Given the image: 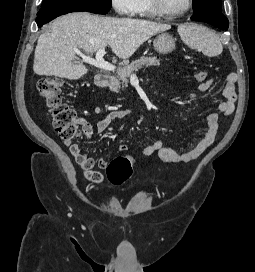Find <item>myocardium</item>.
Segmentation results:
<instances>
[{"label":"myocardium","instance_id":"obj_1","mask_svg":"<svg viewBox=\"0 0 255 272\" xmlns=\"http://www.w3.org/2000/svg\"><path fill=\"white\" fill-rule=\"evenodd\" d=\"M151 5L155 13L164 18H178L187 14L193 7V0H188L187 7L179 12H169L164 8L163 0H151Z\"/></svg>","mask_w":255,"mask_h":272}]
</instances>
